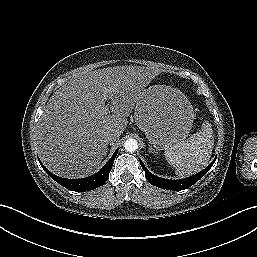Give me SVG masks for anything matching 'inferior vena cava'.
Listing matches in <instances>:
<instances>
[{
    "instance_id": "602c4592",
    "label": "inferior vena cava",
    "mask_w": 257,
    "mask_h": 257,
    "mask_svg": "<svg viewBox=\"0 0 257 257\" xmlns=\"http://www.w3.org/2000/svg\"><path fill=\"white\" fill-rule=\"evenodd\" d=\"M103 135L105 140L108 142H113L119 139V135L116 134L115 132L107 131V132H104Z\"/></svg>"
}]
</instances>
